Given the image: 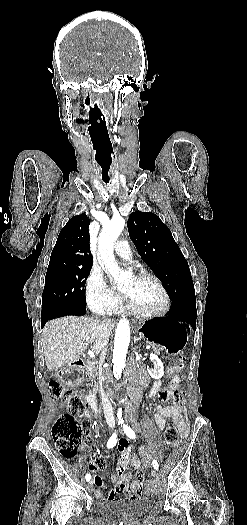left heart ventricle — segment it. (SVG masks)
Instances as JSON below:
<instances>
[{"mask_svg":"<svg viewBox=\"0 0 247 525\" xmlns=\"http://www.w3.org/2000/svg\"><path fill=\"white\" fill-rule=\"evenodd\" d=\"M122 266L129 270L130 264L123 261ZM123 289L127 292L133 291V297L149 308H158L163 304L164 296L154 280L144 278H130L124 285Z\"/></svg>","mask_w":247,"mask_h":525,"instance_id":"b2bd125f","label":"left heart ventricle"}]
</instances>
